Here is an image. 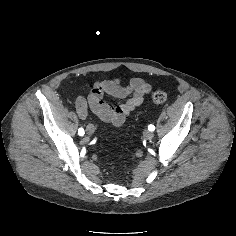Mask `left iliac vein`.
Wrapping results in <instances>:
<instances>
[{
	"instance_id": "left-iliac-vein-1",
	"label": "left iliac vein",
	"mask_w": 236,
	"mask_h": 236,
	"mask_svg": "<svg viewBox=\"0 0 236 236\" xmlns=\"http://www.w3.org/2000/svg\"><path fill=\"white\" fill-rule=\"evenodd\" d=\"M143 137L146 139V140H151L153 139L154 137V133L153 132H150L148 130L144 131L143 133Z\"/></svg>"
}]
</instances>
